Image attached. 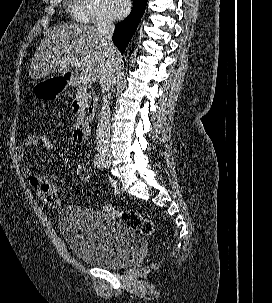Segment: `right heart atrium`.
I'll use <instances>...</instances> for the list:
<instances>
[{"instance_id":"d8ad5b80","label":"right heart atrium","mask_w":272,"mask_h":303,"mask_svg":"<svg viewBox=\"0 0 272 303\" xmlns=\"http://www.w3.org/2000/svg\"><path fill=\"white\" fill-rule=\"evenodd\" d=\"M83 3L87 13L88 22L105 24L113 21V17L110 14L106 0H83Z\"/></svg>"}]
</instances>
